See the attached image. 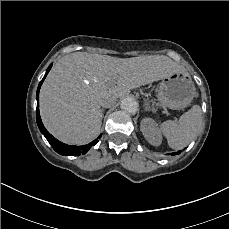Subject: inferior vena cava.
Here are the masks:
<instances>
[{
	"label": "inferior vena cava",
	"mask_w": 229,
	"mask_h": 229,
	"mask_svg": "<svg viewBox=\"0 0 229 229\" xmlns=\"http://www.w3.org/2000/svg\"><path fill=\"white\" fill-rule=\"evenodd\" d=\"M101 106H103V107H111L112 105H111L109 102L104 101V102L101 104Z\"/></svg>",
	"instance_id": "602c4592"
}]
</instances>
